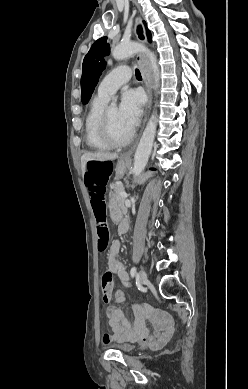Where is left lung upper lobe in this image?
I'll return each mask as SVG.
<instances>
[{"label":"left lung upper lobe","mask_w":248,"mask_h":389,"mask_svg":"<svg viewBox=\"0 0 248 389\" xmlns=\"http://www.w3.org/2000/svg\"><path fill=\"white\" fill-rule=\"evenodd\" d=\"M146 25V23L144 22ZM149 42H151V33L146 29ZM109 54V44L107 37H102L94 42L89 52L86 54L82 65L81 77V99L86 104L97 85L102 71L106 67L104 56Z\"/></svg>","instance_id":"1"}]
</instances>
